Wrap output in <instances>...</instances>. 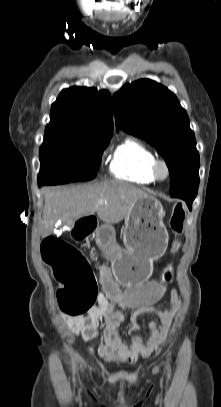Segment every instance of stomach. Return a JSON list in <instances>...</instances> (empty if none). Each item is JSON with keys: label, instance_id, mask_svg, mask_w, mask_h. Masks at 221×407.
Here are the masks:
<instances>
[{"label": "stomach", "instance_id": "obj_1", "mask_svg": "<svg viewBox=\"0 0 221 407\" xmlns=\"http://www.w3.org/2000/svg\"><path fill=\"white\" fill-rule=\"evenodd\" d=\"M164 216L162 204L153 196L143 195L134 202L125 218V248H110L112 272L120 284L143 283L150 277L153 261L168 245Z\"/></svg>", "mask_w": 221, "mask_h": 407}]
</instances>
